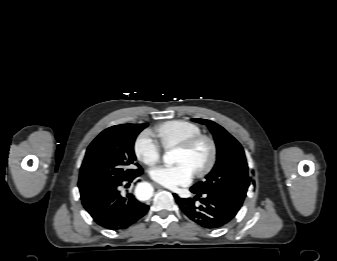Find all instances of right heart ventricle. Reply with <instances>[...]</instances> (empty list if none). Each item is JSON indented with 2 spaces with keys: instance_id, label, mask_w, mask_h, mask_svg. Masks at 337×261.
Wrapping results in <instances>:
<instances>
[{
  "instance_id": "right-heart-ventricle-1",
  "label": "right heart ventricle",
  "mask_w": 337,
  "mask_h": 261,
  "mask_svg": "<svg viewBox=\"0 0 337 261\" xmlns=\"http://www.w3.org/2000/svg\"><path fill=\"white\" fill-rule=\"evenodd\" d=\"M155 132L161 144L169 149L201 134L202 130L194 123L184 120H172L158 125L155 128Z\"/></svg>"
}]
</instances>
